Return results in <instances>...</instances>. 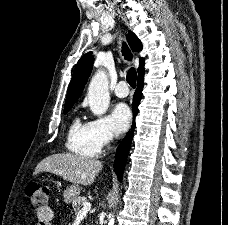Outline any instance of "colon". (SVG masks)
<instances>
[{"mask_svg": "<svg viewBox=\"0 0 228 225\" xmlns=\"http://www.w3.org/2000/svg\"><path fill=\"white\" fill-rule=\"evenodd\" d=\"M26 197L30 202L31 207L36 211H45L48 207L49 192L46 187L39 184H30L26 188ZM45 217V216H41Z\"/></svg>", "mask_w": 228, "mask_h": 225, "instance_id": "1", "label": "colon"}]
</instances>
